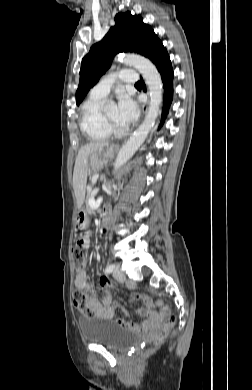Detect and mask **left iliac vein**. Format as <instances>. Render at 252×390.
Returning <instances> with one entry per match:
<instances>
[{
	"instance_id": "obj_1",
	"label": "left iliac vein",
	"mask_w": 252,
	"mask_h": 390,
	"mask_svg": "<svg viewBox=\"0 0 252 390\" xmlns=\"http://www.w3.org/2000/svg\"><path fill=\"white\" fill-rule=\"evenodd\" d=\"M113 276L118 282H124L126 277L124 273L120 270V268L117 266L113 270Z\"/></svg>"
}]
</instances>
